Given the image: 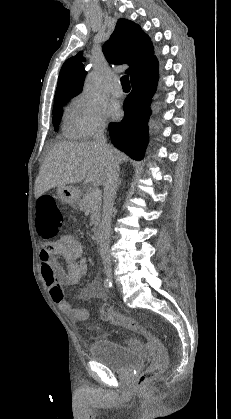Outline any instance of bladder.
Masks as SVG:
<instances>
[{"label":"bladder","instance_id":"31cf9c89","mask_svg":"<svg viewBox=\"0 0 231 419\" xmlns=\"http://www.w3.org/2000/svg\"><path fill=\"white\" fill-rule=\"evenodd\" d=\"M90 357L106 365L110 370L122 374L141 366L145 361L142 354L132 352L123 345L106 339L97 340L91 345Z\"/></svg>","mask_w":231,"mask_h":419}]
</instances>
